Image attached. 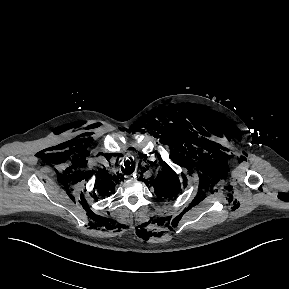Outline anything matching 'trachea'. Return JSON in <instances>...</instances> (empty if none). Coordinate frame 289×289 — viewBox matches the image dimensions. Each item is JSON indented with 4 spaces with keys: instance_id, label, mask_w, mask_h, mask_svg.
Wrapping results in <instances>:
<instances>
[{
    "instance_id": "trachea-1",
    "label": "trachea",
    "mask_w": 289,
    "mask_h": 289,
    "mask_svg": "<svg viewBox=\"0 0 289 289\" xmlns=\"http://www.w3.org/2000/svg\"><path fill=\"white\" fill-rule=\"evenodd\" d=\"M124 166L125 168H123V173L125 174H131L134 170H135V165L134 163H132V159L131 161L130 160H127L125 163H124Z\"/></svg>"
}]
</instances>
